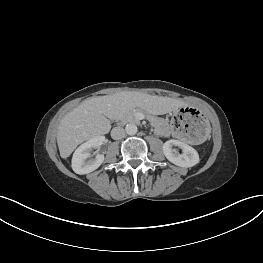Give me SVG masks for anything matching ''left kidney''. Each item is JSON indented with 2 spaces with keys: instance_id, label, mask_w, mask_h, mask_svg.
<instances>
[{
  "instance_id": "obj_1",
  "label": "left kidney",
  "mask_w": 263,
  "mask_h": 263,
  "mask_svg": "<svg viewBox=\"0 0 263 263\" xmlns=\"http://www.w3.org/2000/svg\"><path fill=\"white\" fill-rule=\"evenodd\" d=\"M179 147L183 153L179 154L173 147ZM163 153L165 157L173 164L180 167H192L199 162V155L197 151L179 140H168L163 145Z\"/></svg>"
}]
</instances>
